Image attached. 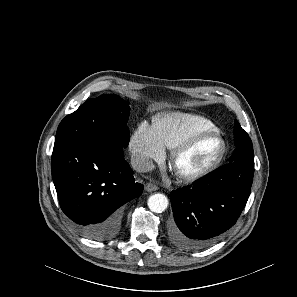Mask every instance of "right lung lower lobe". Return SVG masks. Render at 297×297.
<instances>
[{"label":"right lung lower lobe","instance_id":"98d812e1","mask_svg":"<svg viewBox=\"0 0 297 297\" xmlns=\"http://www.w3.org/2000/svg\"><path fill=\"white\" fill-rule=\"evenodd\" d=\"M51 170L62 211L92 240L116 236L122 206L143 191L124 159L123 147L107 138L56 142Z\"/></svg>","mask_w":297,"mask_h":297}]
</instances>
